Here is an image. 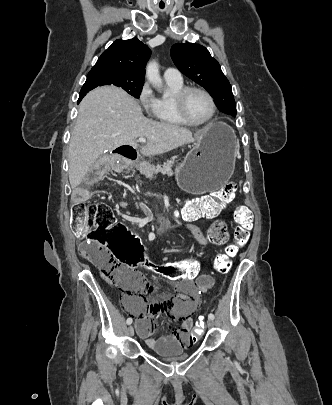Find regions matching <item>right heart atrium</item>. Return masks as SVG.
<instances>
[{
    "label": "right heart atrium",
    "mask_w": 332,
    "mask_h": 405,
    "mask_svg": "<svg viewBox=\"0 0 332 405\" xmlns=\"http://www.w3.org/2000/svg\"><path fill=\"white\" fill-rule=\"evenodd\" d=\"M138 100L147 114H154L157 106V99L155 98L150 86L147 83L143 84V86L139 90Z\"/></svg>",
    "instance_id": "d8ad5b80"
}]
</instances>
